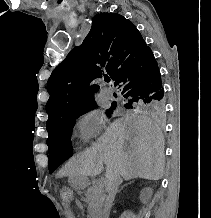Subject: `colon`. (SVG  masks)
I'll return each instance as SVG.
<instances>
[{
    "mask_svg": "<svg viewBox=\"0 0 211 218\" xmlns=\"http://www.w3.org/2000/svg\"><path fill=\"white\" fill-rule=\"evenodd\" d=\"M60 197L64 201H70L72 199V191L69 187L63 186L60 188Z\"/></svg>",
    "mask_w": 211,
    "mask_h": 218,
    "instance_id": "colon-1",
    "label": "colon"
}]
</instances>
